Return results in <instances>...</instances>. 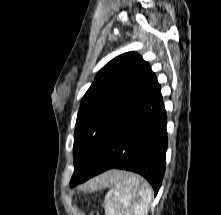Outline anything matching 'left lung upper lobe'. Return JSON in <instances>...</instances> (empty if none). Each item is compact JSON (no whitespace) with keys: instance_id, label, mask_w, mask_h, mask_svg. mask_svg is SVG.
Masks as SVG:
<instances>
[{"instance_id":"1","label":"left lung upper lobe","mask_w":221,"mask_h":215,"mask_svg":"<svg viewBox=\"0 0 221 215\" xmlns=\"http://www.w3.org/2000/svg\"><path fill=\"white\" fill-rule=\"evenodd\" d=\"M152 74L149 64L135 52L107 63L85 93L74 133V174L82 179L102 150L120 112L134 100Z\"/></svg>"}]
</instances>
